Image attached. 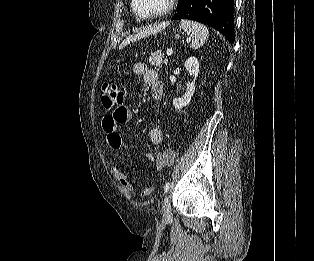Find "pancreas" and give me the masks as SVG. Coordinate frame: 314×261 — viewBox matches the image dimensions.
<instances>
[{
	"label": "pancreas",
	"mask_w": 314,
	"mask_h": 261,
	"mask_svg": "<svg viewBox=\"0 0 314 261\" xmlns=\"http://www.w3.org/2000/svg\"><path fill=\"white\" fill-rule=\"evenodd\" d=\"M164 54L162 51H154L151 53V55L148 57V61L150 65L162 68L163 65H167L168 60L163 59Z\"/></svg>",
	"instance_id": "obj_1"
}]
</instances>
